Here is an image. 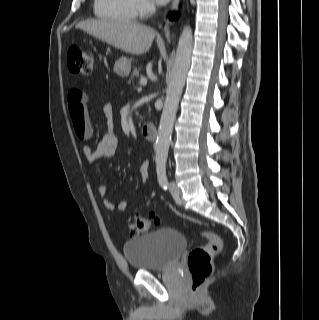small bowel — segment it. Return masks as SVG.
Returning <instances> with one entry per match:
<instances>
[{
    "label": "small bowel",
    "instance_id": "1",
    "mask_svg": "<svg viewBox=\"0 0 319 320\" xmlns=\"http://www.w3.org/2000/svg\"><path fill=\"white\" fill-rule=\"evenodd\" d=\"M87 95L85 92L78 88L70 90L68 94V106L69 113L73 124L83 125L88 128L93 134V127L91 125L89 115L86 107ZM103 112L108 120L113 118V106L110 103H106L103 106ZM119 148V138L118 135L109 131L103 135L102 139L98 142L95 147L89 144H84L82 147V152L84 157L89 162H96L102 158H113L117 155ZM140 173L144 180L148 178L149 175V163L147 161L140 165ZM97 193L102 197L104 207L109 211H125L127 208V201L122 200L120 202H114L106 198L107 188L103 184L97 185Z\"/></svg>",
    "mask_w": 319,
    "mask_h": 320
}]
</instances>
